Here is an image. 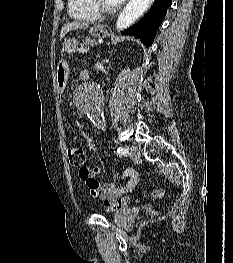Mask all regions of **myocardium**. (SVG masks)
<instances>
[{"mask_svg":"<svg viewBox=\"0 0 233 263\" xmlns=\"http://www.w3.org/2000/svg\"><path fill=\"white\" fill-rule=\"evenodd\" d=\"M93 7L97 10L98 13L110 14L118 10L119 5L107 6L103 4L102 0H91Z\"/></svg>","mask_w":233,"mask_h":263,"instance_id":"myocardium-1","label":"myocardium"}]
</instances>
